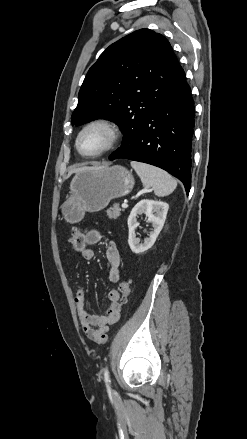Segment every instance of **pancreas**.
I'll list each match as a JSON object with an SVG mask.
<instances>
[{
	"instance_id": "cf45deb5",
	"label": "pancreas",
	"mask_w": 247,
	"mask_h": 439,
	"mask_svg": "<svg viewBox=\"0 0 247 439\" xmlns=\"http://www.w3.org/2000/svg\"><path fill=\"white\" fill-rule=\"evenodd\" d=\"M106 213L110 219H117L120 216L121 209L118 204H114L111 208L107 209Z\"/></svg>"
}]
</instances>
